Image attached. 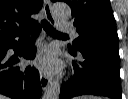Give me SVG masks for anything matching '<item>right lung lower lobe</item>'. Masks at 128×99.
I'll use <instances>...</instances> for the list:
<instances>
[{
	"label": "right lung lower lobe",
	"mask_w": 128,
	"mask_h": 99,
	"mask_svg": "<svg viewBox=\"0 0 128 99\" xmlns=\"http://www.w3.org/2000/svg\"><path fill=\"white\" fill-rule=\"evenodd\" d=\"M34 27V32L28 44L24 47L20 56L25 59H33L36 54L35 39L41 30V26L32 24L15 35L0 41V93L13 99H40L42 89L39 72L34 67L19 68L18 55L10 57L7 54L9 48L16 49L15 37H23L24 31Z\"/></svg>",
	"instance_id": "1"
}]
</instances>
